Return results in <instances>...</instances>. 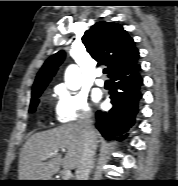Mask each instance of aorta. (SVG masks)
Here are the masks:
<instances>
[{
	"instance_id": "obj_1",
	"label": "aorta",
	"mask_w": 178,
	"mask_h": 186,
	"mask_svg": "<svg viewBox=\"0 0 178 186\" xmlns=\"http://www.w3.org/2000/svg\"><path fill=\"white\" fill-rule=\"evenodd\" d=\"M65 83L71 90H78L81 85L80 69L76 65H70L65 71Z\"/></svg>"
}]
</instances>
